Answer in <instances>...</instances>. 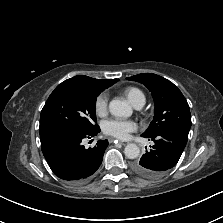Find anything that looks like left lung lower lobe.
I'll return each instance as SVG.
<instances>
[{
    "instance_id": "obj_1",
    "label": "left lung lower lobe",
    "mask_w": 223,
    "mask_h": 223,
    "mask_svg": "<svg viewBox=\"0 0 223 223\" xmlns=\"http://www.w3.org/2000/svg\"><path fill=\"white\" fill-rule=\"evenodd\" d=\"M145 138L152 140L154 145L150 146L151 149L132 168L139 176L153 179L162 176L177 164L186 146L188 134L178 130H166Z\"/></svg>"
}]
</instances>
